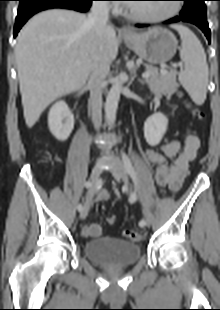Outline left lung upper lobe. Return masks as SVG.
Returning a JSON list of instances; mask_svg holds the SVG:
<instances>
[{
    "label": "left lung upper lobe",
    "instance_id": "obj_1",
    "mask_svg": "<svg viewBox=\"0 0 220 310\" xmlns=\"http://www.w3.org/2000/svg\"><path fill=\"white\" fill-rule=\"evenodd\" d=\"M184 7L180 12L183 17H200L206 18L205 0H182Z\"/></svg>",
    "mask_w": 220,
    "mask_h": 310
}]
</instances>
